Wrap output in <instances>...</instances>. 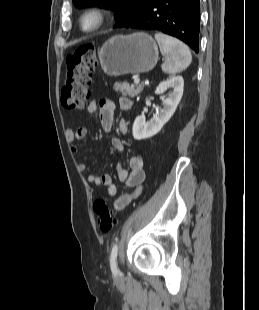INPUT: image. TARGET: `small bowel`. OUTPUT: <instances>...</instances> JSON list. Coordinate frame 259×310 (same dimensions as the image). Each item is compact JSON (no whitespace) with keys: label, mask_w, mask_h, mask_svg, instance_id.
Returning a JSON list of instances; mask_svg holds the SVG:
<instances>
[{"label":"small bowel","mask_w":259,"mask_h":310,"mask_svg":"<svg viewBox=\"0 0 259 310\" xmlns=\"http://www.w3.org/2000/svg\"><path fill=\"white\" fill-rule=\"evenodd\" d=\"M119 105L122 110H128L131 108V101L126 97L119 99ZM98 111L100 124L105 132H110L115 124V112L116 105L111 99L102 98L100 100H92L88 107L87 112L89 115H93ZM117 129L121 133H127L128 126L124 120H119L117 123ZM87 134V128L80 126L78 128H68L66 130V139L68 142H75L82 140ZM112 147L117 153H121L123 150L122 141L113 137L111 140ZM73 152L78 151V147H72ZM105 167V166H104ZM104 167L99 174L87 175V181L95 185H104L107 188L109 195L116 196L117 187L114 184L111 176L105 173ZM78 169L84 171L86 169V163H78ZM117 178L120 182H123L127 188L133 189L132 193H126L119 196L114 202V208L116 211L124 210L132 200L137 198L141 192L143 183L145 180V170L142 159L139 156L133 155L128 160V168L121 162L116 166Z\"/></svg>","instance_id":"1"}]
</instances>
